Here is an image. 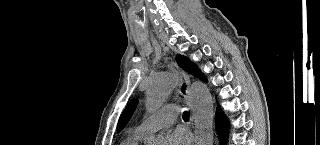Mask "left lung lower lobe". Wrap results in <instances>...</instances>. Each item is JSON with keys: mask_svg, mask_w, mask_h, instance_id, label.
Segmentation results:
<instances>
[{"mask_svg": "<svg viewBox=\"0 0 320 145\" xmlns=\"http://www.w3.org/2000/svg\"><path fill=\"white\" fill-rule=\"evenodd\" d=\"M197 77L202 80H206L205 76L201 72L198 74ZM215 122H216V129L220 132L221 143L224 144L225 137H223V136L226 133L227 120L224 117L219 106L217 107V110H216Z\"/></svg>", "mask_w": 320, "mask_h": 145, "instance_id": "0a47b994", "label": "left lung lower lobe"}]
</instances>
